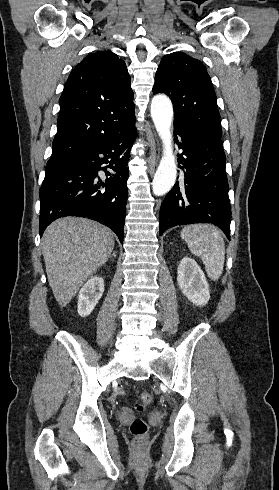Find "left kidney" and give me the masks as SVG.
Instances as JSON below:
<instances>
[{
  "mask_svg": "<svg viewBox=\"0 0 279 490\" xmlns=\"http://www.w3.org/2000/svg\"><path fill=\"white\" fill-rule=\"evenodd\" d=\"M177 274V282L182 294L194 306H206L210 300L209 286L197 262L192 258H183L178 266Z\"/></svg>",
  "mask_w": 279,
  "mask_h": 490,
  "instance_id": "5707ae66",
  "label": "left kidney"
}]
</instances>
